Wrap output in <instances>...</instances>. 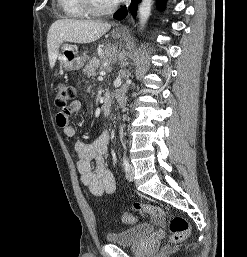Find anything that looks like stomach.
Wrapping results in <instances>:
<instances>
[{
    "mask_svg": "<svg viewBox=\"0 0 247 257\" xmlns=\"http://www.w3.org/2000/svg\"><path fill=\"white\" fill-rule=\"evenodd\" d=\"M115 40H121L124 37L123 33H112ZM123 60L124 52H116L113 56ZM59 65L66 71H75L82 68L86 62V57L79 54L78 48L75 45L64 44L61 46V51L58 53Z\"/></svg>",
    "mask_w": 247,
    "mask_h": 257,
    "instance_id": "stomach-1",
    "label": "stomach"
}]
</instances>
